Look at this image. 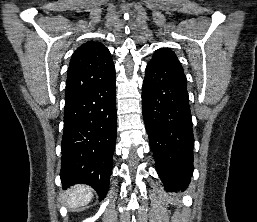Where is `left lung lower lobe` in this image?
Returning <instances> with one entry per match:
<instances>
[{
  "instance_id": "left-lung-lower-lobe-1",
  "label": "left lung lower lobe",
  "mask_w": 257,
  "mask_h": 222,
  "mask_svg": "<svg viewBox=\"0 0 257 222\" xmlns=\"http://www.w3.org/2000/svg\"><path fill=\"white\" fill-rule=\"evenodd\" d=\"M142 111L156 171L165 188L172 191L188 186L194 136L184 72L151 59L143 82Z\"/></svg>"
}]
</instances>
